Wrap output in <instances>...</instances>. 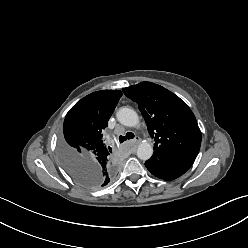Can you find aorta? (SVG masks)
I'll use <instances>...</instances> for the list:
<instances>
[{"label":"aorta","instance_id":"762f6f07","mask_svg":"<svg viewBox=\"0 0 248 248\" xmlns=\"http://www.w3.org/2000/svg\"><path fill=\"white\" fill-rule=\"evenodd\" d=\"M117 120L127 127H136L139 124V116L135 110L122 107L116 113ZM153 154V147L148 142H142L137 149V157L141 160H148Z\"/></svg>","mask_w":248,"mask_h":248}]
</instances>
